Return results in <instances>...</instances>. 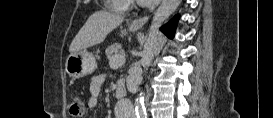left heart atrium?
Listing matches in <instances>:
<instances>
[{"label": "left heart atrium", "mask_w": 273, "mask_h": 118, "mask_svg": "<svg viewBox=\"0 0 273 118\" xmlns=\"http://www.w3.org/2000/svg\"><path fill=\"white\" fill-rule=\"evenodd\" d=\"M158 0H140V3L144 4V5H152L157 3Z\"/></svg>", "instance_id": "left-heart-atrium-1"}]
</instances>
